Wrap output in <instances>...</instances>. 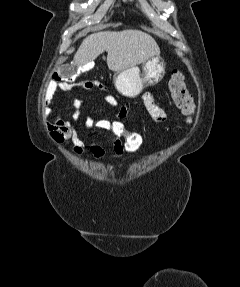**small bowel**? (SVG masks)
Listing matches in <instances>:
<instances>
[{
  "label": "small bowel",
  "instance_id": "obj_1",
  "mask_svg": "<svg viewBox=\"0 0 240 287\" xmlns=\"http://www.w3.org/2000/svg\"><path fill=\"white\" fill-rule=\"evenodd\" d=\"M95 87L103 91H107V88L100 83H96ZM63 91H66L65 87L53 79L49 82L43 98V104L47 108L48 113L55 116V121L50 124L51 138L56 143L69 142L72 151L79 156H83L86 153V144L78 135L75 120L73 119V121H71L55 115L54 98L58 92ZM102 99L115 109L117 119L124 121L128 118V104L119 105L116 99L110 94H105ZM142 103L154 122L164 123L167 120L166 112L155 103L154 97L150 92L143 93ZM106 135L108 136V141L115 156L121 157L124 154V149L120 141L113 140L108 134ZM89 150L97 160L102 159L105 155V149L98 141H92L89 144Z\"/></svg>",
  "mask_w": 240,
  "mask_h": 287
}]
</instances>
